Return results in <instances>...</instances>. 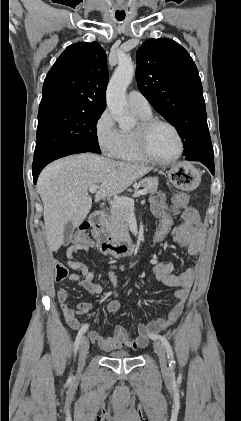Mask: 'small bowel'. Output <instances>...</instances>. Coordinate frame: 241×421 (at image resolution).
Instances as JSON below:
<instances>
[{"mask_svg": "<svg viewBox=\"0 0 241 421\" xmlns=\"http://www.w3.org/2000/svg\"><path fill=\"white\" fill-rule=\"evenodd\" d=\"M167 195L163 191L155 193L151 198L152 212L162 218L166 215L174 217L179 215L181 222L175 225L171 230V237L174 243L181 249H186L190 258L196 256L203 242V229L200 222L198 211L192 207L180 209V207L169 206L166 202ZM91 245L70 246L66 251L67 264L70 268L80 271V274L70 275V279L79 282L92 295H98L102 292V287L94 281V272L82 262L74 261L73 256L80 250H88ZM153 270L158 280L164 284L175 287V303L163 318H158L148 324H140L137 334H131L124 326H114L113 335L108 337L101 336L96 331H90L88 336L93 343H96L104 351H112L122 347L138 349L148 344L149 339L155 337L157 333L177 321L181 315L185 302L188 298L193 284L195 271L189 268L184 272L175 273V267L171 262L152 261ZM123 269V267H121ZM112 283V294L115 297L107 304V311L114 315L121 307L118 301V280L113 272H108ZM68 291L65 287H60L57 293V299L60 303L64 317L68 325L74 330H80L82 325L78 316L87 314L94 306L91 302L79 304L76 309L70 307L66 300Z\"/></svg>", "mask_w": 241, "mask_h": 421, "instance_id": "1", "label": "small bowel"}]
</instances>
